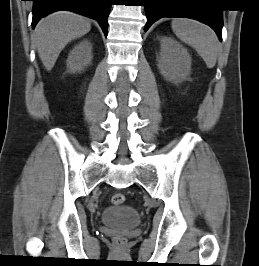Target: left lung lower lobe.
<instances>
[{
  "label": "left lung lower lobe",
  "mask_w": 259,
  "mask_h": 266,
  "mask_svg": "<svg viewBox=\"0 0 259 266\" xmlns=\"http://www.w3.org/2000/svg\"><path fill=\"white\" fill-rule=\"evenodd\" d=\"M197 2L198 0H144L147 16L144 31H147L153 22L162 17H187L209 25L215 30L221 40L223 26L222 9L197 5Z\"/></svg>",
  "instance_id": "obj_1"
}]
</instances>
